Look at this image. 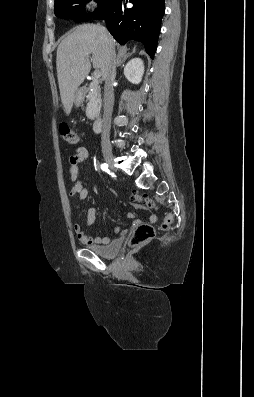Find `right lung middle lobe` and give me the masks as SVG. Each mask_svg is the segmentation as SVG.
Segmentation results:
<instances>
[{
    "label": "right lung middle lobe",
    "instance_id": "right-lung-middle-lobe-1",
    "mask_svg": "<svg viewBox=\"0 0 254 397\" xmlns=\"http://www.w3.org/2000/svg\"><path fill=\"white\" fill-rule=\"evenodd\" d=\"M88 1L89 0H56L54 13L57 17L63 19H74L76 22L82 20L88 21L90 18L104 12L113 2V0H96L99 4V9L90 16H84L82 10L85 3Z\"/></svg>",
    "mask_w": 254,
    "mask_h": 397
}]
</instances>
